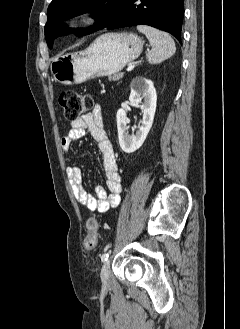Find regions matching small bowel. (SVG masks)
<instances>
[{"mask_svg":"<svg viewBox=\"0 0 240 329\" xmlns=\"http://www.w3.org/2000/svg\"><path fill=\"white\" fill-rule=\"evenodd\" d=\"M87 132L95 140L102 155L107 190L96 186L95 195L90 194L83 186V175L79 166L69 165L67 175L76 200L92 212L104 213L119 204L122 185L117 159L104 129L102 110L98 104L90 112L71 122L69 132L60 140L63 151L68 152L72 143L81 139Z\"/></svg>","mask_w":240,"mask_h":329,"instance_id":"obj_1","label":"small bowel"}]
</instances>
